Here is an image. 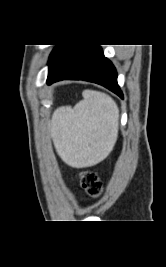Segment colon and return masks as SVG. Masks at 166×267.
Instances as JSON below:
<instances>
[{"label":"colon","mask_w":166,"mask_h":267,"mask_svg":"<svg viewBox=\"0 0 166 267\" xmlns=\"http://www.w3.org/2000/svg\"><path fill=\"white\" fill-rule=\"evenodd\" d=\"M79 182L89 196L96 198L101 195L102 183L97 173L93 171H83L79 175Z\"/></svg>","instance_id":"5ec220e1"}]
</instances>
